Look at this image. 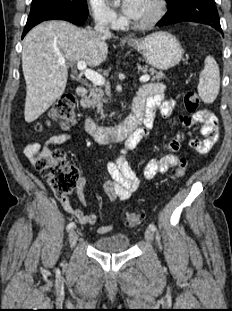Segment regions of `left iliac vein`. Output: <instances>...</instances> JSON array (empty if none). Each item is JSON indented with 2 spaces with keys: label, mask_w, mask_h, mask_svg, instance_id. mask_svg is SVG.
Listing matches in <instances>:
<instances>
[{
  "label": "left iliac vein",
  "mask_w": 232,
  "mask_h": 311,
  "mask_svg": "<svg viewBox=\"0 0 232 311\" xmlns=\"http://www.w3.org/2000/svg\"><path fill=\"white\" fill-rule=\"evenodd\" d=\"M145 239H146V241L149 242V243H152V242H153V240H154V233H153L152 230L147 229V230L145 231Z\"/></svg>",
  "instance_id": "left-iliac-vein-1"
}]
</instances>
